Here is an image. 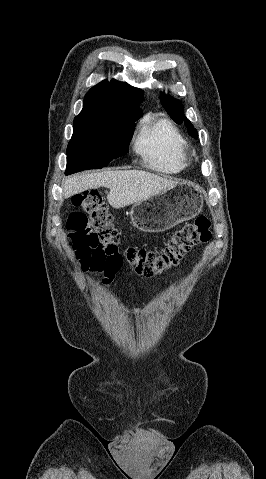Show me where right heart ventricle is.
<instances>
[{
  "instance_id": "right-heart-ventricle-1",
  "label": "right heart ventricle",
  "mask_w": 266,
  "mask_h": 479,
  "mask_svg": "<svg viewBox=\"0 0 266 479\" xmlns=\"http://www.w3.org/2000/svg\"><path fill=\"white\" fill-rule=\"evenodd\" d=\"M134 150L149 169L177 174L190 164L188 143L172 122L165 118L146 120L139 130Z\"/></svg>"
}]
</instances>
